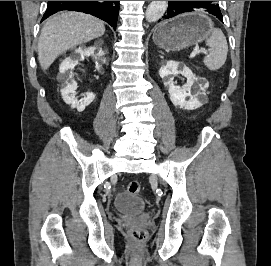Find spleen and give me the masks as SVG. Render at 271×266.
Here are the masks:
<instances>
[{
    "label": "spleen",
    "mask_w": 271,
    "mask_h": 266,
    "mask_svg": "<svg viewBox=\"0 0 271 266\" xmlns=\"http://www.w3.org/2000/svg\"><path fill=\"white\" fill-rule=\"evenodd\" d=\"M210 52L204 57V65L211 71L220 69L227 58L228 45L226 37L219 28H213L211 34L206 40Z\"/></svg>",
    "instance_id": "obj_1"
}]
</instances>
